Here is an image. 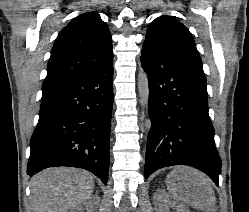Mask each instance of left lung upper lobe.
<instances>
[{"mask_svg":"<svg viewBox=\"0 0 249 212\" xmlns=\"http://www.w3.org/2000/svg\"><path fill=\"white\" fill-rule=\"evenodd\" d=\"M142 52H157L182 64L203 70L191 33L182 23L170 16H161L149 25Z\"/></svg>","mask_w":249,"mask_h":212,"instance_id":"5c2ea615","label":"left lung upper lobe"}]
</instances>
